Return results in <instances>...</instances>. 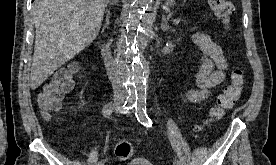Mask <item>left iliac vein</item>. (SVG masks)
<instances>
[{"instance_id": "1", "label": "left iliac vein", "mask_w": 276, "mask_h": 165, "mask_svg": "<svg viewBox=\"0 0 276 165\" xmlns=\"http://www.w3.org/2000/svg\"><path fill=\"white\" fill-rule=\"evenodd\" d=\"M118 111H119V112H121V113H124V111H123V110H121V109H118Z\"/></svg>"}]
</instances>
